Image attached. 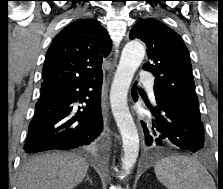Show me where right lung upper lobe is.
Segmentation results:
<instances>
[{
	"mask_svg": "<svg viewBox=\"0 0 223 189\" xmlns=\"http://www.w3.org/2000/svg\"><path fill=\"white\" fill-rule=\"evenodd\" d=\"M111 52V40L96 19H79L57 34L43 66L42 87L93 80L101 75L102 59Z\"/></svg>",
	"mask_w": 223,
	"mask_h": 189,
	"instance_id": "obj_1",
	"label": "right lung upper lobe"
}]
</instances>
